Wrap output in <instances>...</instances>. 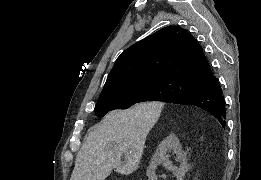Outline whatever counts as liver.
I'll return each mask as SVG.
<instances>
[{"instance_id": "obj_1", "label": "liver", "mask_w": 261, "mask_h": 180, "mask_svg": "<svg viewBox=\"0 0 261 180\" xmlns=\"http://www.w3.org/2000/svg\"><path fill=\"white\" fill-rule=\"evenodd\" d=\"M157 102L137 104L131 110H113L94 126L80 148L70 180H106L112 170L133 174L156 124Z\"/></svg>"}]
</instances>
